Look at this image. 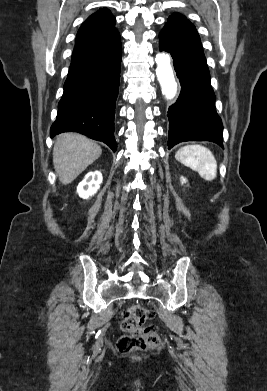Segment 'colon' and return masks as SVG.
<instances>
[{
  "instance_id": "1",
  "label": "colon",
  "mask_w": 267,
  "mask_h": 391,
  "mask_svg": "<svg viewBox=\"0 0 267 391\" xmlns=\"http://www.w3.org/2000/svg\"><path fill=\"white\" fill-rule=\"evenodd\" d=\"M153 317V312L139 305H133L124 311L120 328L124 332L116 343L120 354H128L135 350L153 349L159 344V335L149 326H144L147 319Z\"/></svg>"
}]
</instances>
